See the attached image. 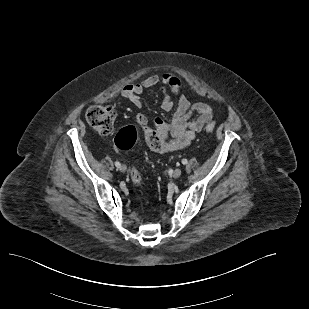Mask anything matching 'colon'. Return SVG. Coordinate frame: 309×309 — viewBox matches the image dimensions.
Instances as JSON below:
<instances>
[{
    "mask_svg": "<svg viewBox=\"0 0 309 309\" xmlns=\"http://www.w3.org/2000/svg\"><path fill=\"white\" fill-rule=\"evenodd\" d=\"M116 110L108 105H92L87 108L85 117L89 125L102 135L112 133L116 120ZM215 125L210 123L205 127L207 132H212ZM137 137V129L135 126H127L121 129L115 138L116 147L119 150L127 151L133 147ZM146 142L148 146L158 151L161 146L160 137L153 130L146 131ZM131 180L136 185L141 184V174L137 168L131 171Z\"/></svg>",
    "mask_w": 309,
    "mask_h": 309,
    "instance_id": "colon-1",
    "label": "colon"
}]
</instances>
